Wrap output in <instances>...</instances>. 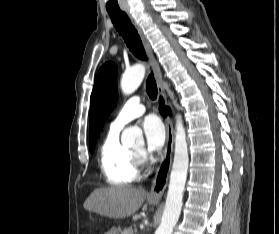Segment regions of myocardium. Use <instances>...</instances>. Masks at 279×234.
Wrapping results in <instances>:
<instances>
[{
    "label": "myocardium",
    "instance_id": "myocardium-1",
    "mask_svg": "<svg viewBox=\"0 0 279 234\" xmlns=\"http://www.w3.org/2000/svg\"><path fill=\"white\" fill-rule=\"evenodd\" d=\"M133 153H134L137 165H139L143 160V151L142 150H140V151L133 150Z\"/></svg>",
    "mask_w": 279,
    "mask_h": 234
}]
</instances>
